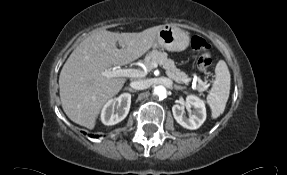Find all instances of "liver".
<instances>
[{"label":"liver","instance_id":"obj_1","mask_svg":"<svg viewBox=\"0 0 287 175\" xmlns=\"http://www.w3.org/2000/svg\"><path fill=\"white\" fill-rule=\"evenodd\" d=\"M163 25L139 33L95 30L72 52L59 76L60 99L73 122L93 129L106 102L122 89L125 78L103 75L111 66L129 64L153 45ZM119 43L120 48L116 47Z\"/></svg>","mask_w":287,"mask_h":175}]
</instances>
